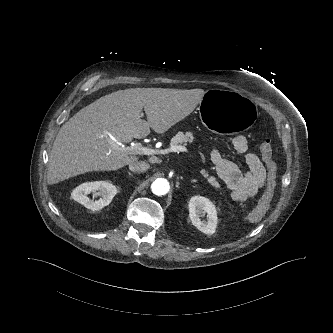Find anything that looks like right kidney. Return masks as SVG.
Instances as JSON below:
<instances>
[{
  "mask_svg": "<svg viewBox=\"0 0 333 333\" xmlns=\"http://www.w3.org/2000/svg\"><path fill=\"white\" fill-rule=\"evenodd\" d=\"M89 193L100 195L99 200H91ZM117 193L115 185L107 181L86 182L76 187L72 192V198L91 210H100L107 206Z\"/></svg>",
  "mask_w": 333,
  "mask_h": 333,
  "instance_id": "obj_1",
  "label": "right kidney"
}]
</instances>
